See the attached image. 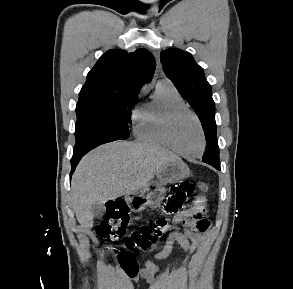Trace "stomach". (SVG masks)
<instances>
[{"label":"stomach","instance_id":"obj_1","mask_svg":"<svg viewBox=\"0 0 293 289\" xmlns=\"http://www.w3.org/2000/svg\"><path fill=\"white\" fill-rule=\"evenodd\" d=\"M190 176L189 167L182 161H172L162 167L157 173V180L148 182L138 193L127 196V201L134 212L146 208H157L161 205L165 194V186Z\"/></svg>","mask_w":293,"mask_h":289}]
</instances>
